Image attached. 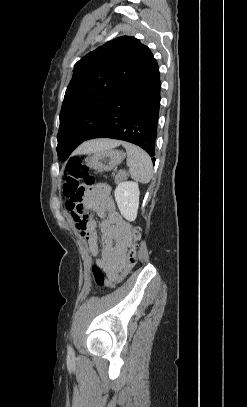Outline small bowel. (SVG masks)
<instances>
[{"label": "small bowel", "mask_w": 247, "mask_h": 407, "mask_svg": "<svg viewBox=\"0 0 247 407\" xmlns=\"http://www.w3.org/2000/svg\"><path fill=\"white\" fill-rule=\"evenodd\" d=\"M66 209L92 256L100 254L98 265L106 277L116 280L126 265L132 236L128 223L116 210L110 196V187L100 185L89 190L84 201L77 204L68 200ZM88 212H93L102 219L100 234L96 221Z\"/></svg>", "instance_id": "obj_1"}]
</instances>
